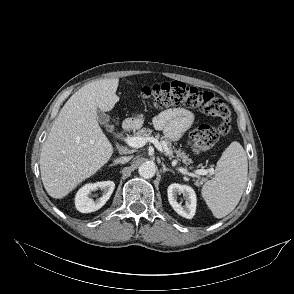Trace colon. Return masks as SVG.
I'll use <instances>...</instances> for the list:
<instances>
[{"label": "colon", "instance_id": "colon-1", "mask_svg": "<svg viewBox=\"0 0 294 294\" xmlns=\"http://www.w3.org/2000/svg\"><path fill=\"white\" fill-rule=\"evenodd\" d=\"M141 95L154 108L186 106L219 119L217 125L201 123L190 133L188 142L190 149L195 154L209 150L221 135L230 130L229 108L212 92L202 91L179 81H171L145 86Z\"/></svg>", "mask_w": 294, "mask_h": 294}]
</instances>
